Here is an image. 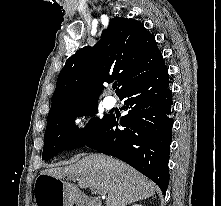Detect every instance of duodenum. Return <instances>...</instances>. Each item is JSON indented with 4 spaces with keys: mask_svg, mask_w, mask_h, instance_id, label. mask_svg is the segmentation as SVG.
Listing matches in <instances>:
<instances>
[{
    "mask_svg": "<svg viewBox=\"0 0 221 206\" xmlns=\"http://www.w3.org/2000/svg\"><path fill=\"white\" fill-rule=\"evenodd\" d=\"M88 206H101L100 202L92 196L87 197Z\"/></svg>",
    "mask_w": 221,
    "mask_h": 206,
    "instance_id": "duodenum-1",
    "label": "duodenum"
}]
</instances>
